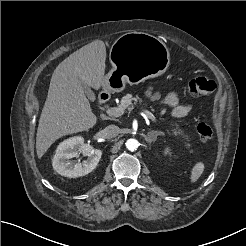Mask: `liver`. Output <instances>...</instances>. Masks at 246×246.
Wrapping results in <instances>:
<instances>
[{
	"label": "liver",
	"mask_w": 246,
	"mask_h": 246,
	"mask_svg": "<svg viewBox=\"0 0 246 246\" xmlns=\"http://www.w3.org/2000/svg\"><path fill=\"white\" fill-rule=\"evenodd\" d=\"M106 46L95 40L73 52L54 70L37 134L40 159L59 138L87 131L97 123L82 82L95 90L105 85Z\"/></svg>",
	"instance_id": "liver-1"
}]
</instances>
